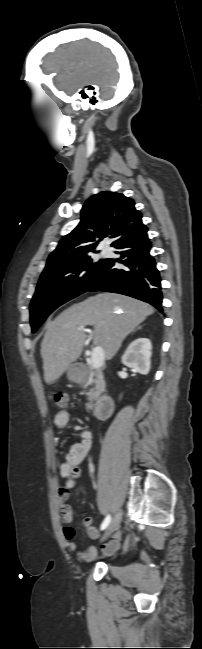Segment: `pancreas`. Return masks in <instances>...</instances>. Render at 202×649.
Masks as SVG:
<instances>
[{"label": "pancreas", "instance_id": "obj_1", "mask_svg": "<svg viewBox=\"0 0 202 649\" xmlns=\"http://www.w3.org/2000/svg\"><path fill=\"white\" fill-rule=\"evenodd\" d=\"M79 383L94 384V387L86 393L88 396L86 407L87 409L92 410L94 407V401H97L100 398L101 393L105 389V382L101 370H94L92 365L83 366Z\"/></svg>", "mask_w": 202, "mask_h": 649}]
</instances>
